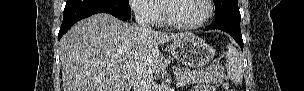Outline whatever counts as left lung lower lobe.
I'll return each mask as SVG.
<instances>
[{"instance_id":"left-lung-lower-lobe-1","label":"left lung lower lobe","mask_w":304,"mask_h":91,"mask_svg":"<svg viewBox=\"0 0 304 91\" xmlns=\"http://www.w3.org/2000/svg\"><path fill=\"white\" fill-rule=\"evenodd\" d=\"M241 15L239 9H234L225 15L216 18L215 21L205 28V30L220 29L228 32L243 50V40L240 29Z\"/></svg>"}]
</instances>
